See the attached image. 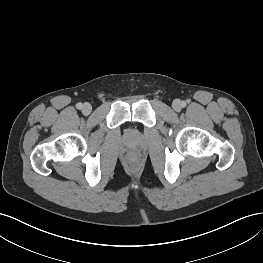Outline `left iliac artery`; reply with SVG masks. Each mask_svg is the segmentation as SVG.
<instances>
[{"label":"left iliac artery","mask_w":263,"mask_h":263,"mask_svg":"<svg viewBox=\"0 0 263 263\" xmlns=\"http://www.w3.org/2000/svg\"><path fill=\"white\" fill-rule=\"evenodd\" d=\"M186 106V103L185 102H182V107H185Z\"/></svg>","instance_id":"44dca946"}]
</instances>
